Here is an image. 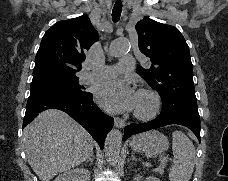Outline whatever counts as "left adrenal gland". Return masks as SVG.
Listing matches in <instances>:
<instances>
[{"label":"left adrenal gland","mask_w":228,"mask_h":181,"mask_svg":"<svg viewBox=\"0 0 228 181\" xmlns=\"http://www.w3.org/2000/svg\"><path fill=\"white\" fill-rule=\"evenodd\" d=\"M130 161H137V159H135V157H134V153H131V157H130L128 163H130Z\"/></svg>","instance_id":"a2214340"}]
</instances>
